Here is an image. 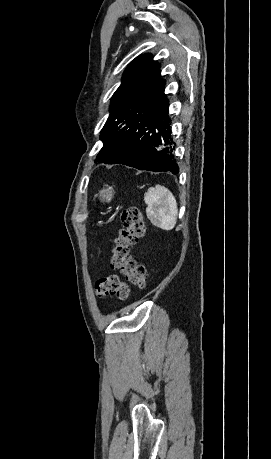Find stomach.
I'll list each match as a JSON object with an SVG mask.
<instances>
[{
  "mask_svg": "<svg viewBox=\"0 0 271 459\" xmlns=\"http://www.w3.org/2000/svg\"><path fill=\"white\" fill-rule=\"evenodd\" d=\"M97 196L102 202H110L114 196V190L113 188H105V190H100Z\"/></svg>",
  "mask_w": 271,
  "mask_h": 459,
  "instance_id": "stomach-1",
  "label": "stomach"
}]
</instances>
